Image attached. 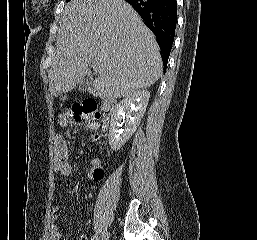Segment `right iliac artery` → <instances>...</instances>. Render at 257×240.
Segmentation results:
<instances>
[{
    "instance_id": "right-iliac-artery-1",
    "label": "right iliac artery",
    "mask_w": 257,
    "mask_h": 240,
    "mask_svg": "<svg viewBox=\"0 0 257 240\" xmlns=\"http://www.w3.org/2000/svg\"><path fill=\"white\" fill-rule=\"evenodd\" d=\"M91 240H99V239H98V234H97V233L94 234V235L92 236Z\"/></svg>"
}]
</instances>
